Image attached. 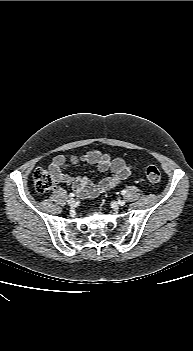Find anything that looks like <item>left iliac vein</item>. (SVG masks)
<instances>
[{
  "mask_svg": "<svg viewBox=\"0 0 193 351\" xmlns=\"http://www.w3.org/2000/svg\"><path fill=\"white\" fill-rule=\"evenodd\" d=\"M118 204H119L120 206H124V205H125V201H124V200H119V201H118Z\"/></svg>",
  "mask_w": 193,
  "mask_h": 351,
  "instance_id": "left-iliac-vein-1",
  "label": "left iliac vein"
}]
</instances>
